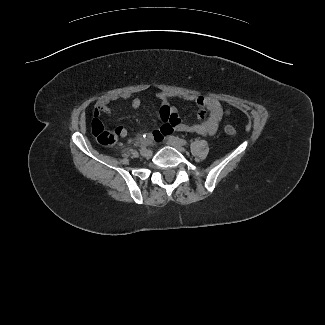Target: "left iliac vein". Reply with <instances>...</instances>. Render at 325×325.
Segmentation results:
<instances>
[{
  "mask_svg": "<svg viewBox=\"0 0 325 325\" xmlns=\"http://www.w3.org/2000/svg\"><path fill=\"white\" fill-rule=\"evenodd\" d=\"M166 143H167L169 146L174 147L175 149H177V150L180 151V152H184V151H185V148H184L181 144L176 143V142L173 141L171 138H168Z\"/></svg>",
  "mask_w": 325,
  "mask_h": 325,
  "instance_id": "obj_1",
  "label": "left iliac vein"
}]
</instances>
